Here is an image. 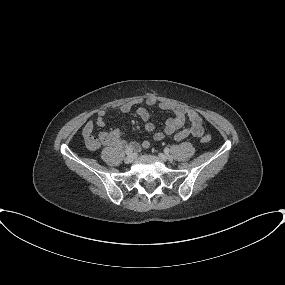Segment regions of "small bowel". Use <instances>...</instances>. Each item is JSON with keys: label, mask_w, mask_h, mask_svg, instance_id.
<instances>
[{"label": "small bowel", "mask_w": 285, "mask_h": 285, "mask_svg": "<svg viewBox=\"0 0 285 285\" xmlns=\"http://www.w3.org/2000/svg\"><path fill=\"white\" fill-rule=\"evenodd\" d=\"M134 106H137L136 113L143 121L144 127L148 132H153L155 141H162L166 135L174 134L177 141H182L188 137H202L204 129L202 119L199 114L191 109L173 105L168 102L159 101L154 97L137 98L118 106L121 113H129ZM145 106H158L161 110L171 111L174 116L168 118L165 122L163 131H155V125L151 121V115ZM186 122H189L188 128H182ZM106 112L101 110L98 112L94 121H88L83 127L82 134L85 144L89 150H97L102 145H111L118 148H131L139 151L141 148H148L150 142L145 140L142 144L135 141H127L124 139V130L116 128L110 132H101L97 137L94 136L96 127H105Z\"/></svg>", "instance_id": "1"}]
</instances>
